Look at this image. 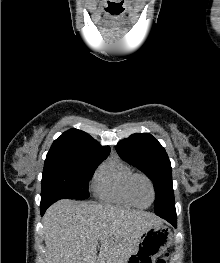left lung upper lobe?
I'll use <instances>...</instances> for the list:
<instances>
[{
	"label": "left lung upper lobe",
	"instance_id": "obj_1",
	"mask_svg": "<svg viewBox=\"0 0 220 263\" xmlns=\"http://www.w3.org/2000/svg\"><path fill=\"white\" fill-rule=\"evenodd\" d=\"M116 150L123 160L154 182V212L175 210L171 163L161 144L149 133H136L120 141Z\"/></svg>",
	"mask_w": 220,
	"mask_h": 263
}]
</instances>
